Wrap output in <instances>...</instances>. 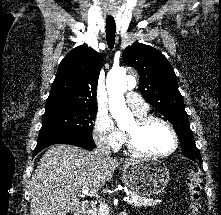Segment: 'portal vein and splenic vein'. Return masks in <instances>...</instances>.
I'll return each instance as SVG.
<instances>
[{
    "label": "portal vein and splenic vein",
    "instance_id": "18ae733b",
    "mask_svg": "<svg viewBox=\"0 0 221 215\" xmlns=\"http://www.w3.org/2000/svg\"><path fill=\"white\" fill-rule=\"evenodd\" d=\"M81 193L84 194V195H87V196H96V192L93 191V190H89L88 188H82L81 189ZM137 197H124L123 200L124 201H130L132 199H136Z\"/></svg>",
    "mask_w": 221,
    "mask_h": 215
}]
</instances>
